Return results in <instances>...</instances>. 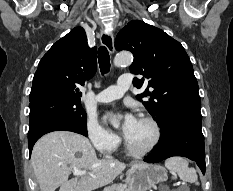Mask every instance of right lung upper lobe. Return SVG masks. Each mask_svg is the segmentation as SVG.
<instances>
[{"instance_id":"1","label":"right lung upper lobe","mask_w":233,"mask_h":191,"mask_svg":"<svg viewBox=\"0 0 233 191\" xmlns=\"http://www.w3.org/2000/svg\"><path fill=\"white\" fill-rule=\"evenodd\" d=\"M96 66V48H89L85 30L76 27L53 44L40 60L30 99L56 94L80 100L78 85L95 74Z\"/></svg>"}]
</instances>
